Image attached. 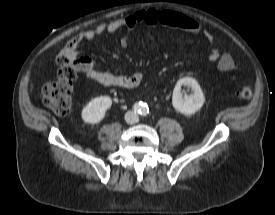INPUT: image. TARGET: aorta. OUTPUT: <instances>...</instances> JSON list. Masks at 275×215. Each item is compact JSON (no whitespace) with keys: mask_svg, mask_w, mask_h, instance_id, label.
Segmentation results:
<instances>
[{"mask_svg":"<svg viewBox=\"0 0 275 215\" xmlns=\"http://www.w3.org/2000/svg\"><path fill=\"white\" fill-rule=\"evenodd\" d=\"M147 111H148V107L143 106V105L140 107V112H141L142 114L146 113Z\"/></svg>","mask_w":275,"mask_h":215,"instance_id":"762f6f07","label":"aorta"}]
</instances>
